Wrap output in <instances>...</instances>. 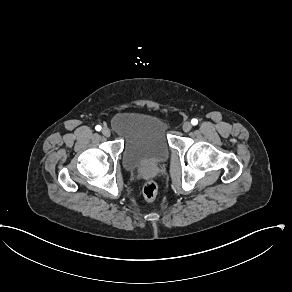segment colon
Listing matches in <instances>:
<instances>
[{"instance_id":"obj_1","label":"colon","mask_w":292,"mask_h":292,"mask_svg":"<svg viewBox=\"0 0 292 292\" xmlns=\"http://www.w3.org/2000/svg\"><path fill=\"white\" fill-rule=\"evenodd\" d=\"M158 193V187L157 184L153 180H147L145 181L143 185V198L146 202H152L155 200Z\"/></svg>"}]
</instances>
